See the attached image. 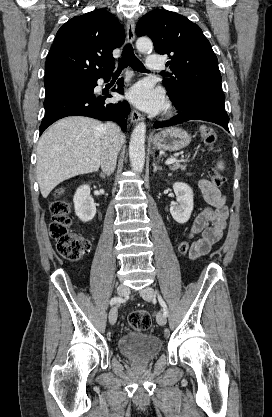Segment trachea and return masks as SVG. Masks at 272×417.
I'll list each match as a JSON object with an SVG mask.
<instances>
[{
    "label": "trachea",
    "instance_id": "3493384b",
    "mask_svg": "<svg viewBox=\"0 0 272 417\" xmlns=\"http://www.w3.org/2000/svg\"><path fill=\"white\" fill-rule=\"evenodd\" d=\"M128 65L136 71H139V72L146 71L142 62L133 53V48L131 44H126L124 46L123 55L119 60L118 69L115 71V74H120L121 71Z\"/></svg>",
    "mask_w": 272,
    "mask_h": 417
}]
</instances>
